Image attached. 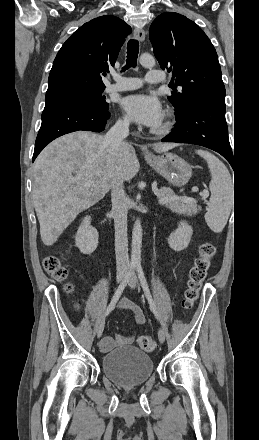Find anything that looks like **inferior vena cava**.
Segmentation results:
<instances>
[{"mask_svg": "<svg viewBox=\"0 0 259 440\" xmlns=\"http://www.w3.org/2000/svg\"><path fill=\"white\" fill-rule=\"evenodd\" d=\"M129 135V121L119 120L106 133L105 141L117 157L128 145L124 141ZM111 201L115 223V254L117 271H125L129 267L128 239H127V197L124 191V181L118 174L113 176L111 182Z\"/></svg>", "mask_w": 259, "mask_h": 440, "instance_id": "obj_1", "label": "inferior vena cava"}]
</instances>
